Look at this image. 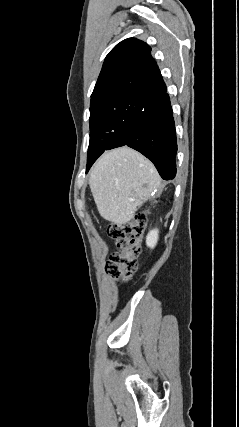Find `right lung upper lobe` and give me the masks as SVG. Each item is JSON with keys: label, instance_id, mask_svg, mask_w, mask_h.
<instances>
[{"label": "right lung upper lobe", "instance_id": "obj_1", "mask_svg": "<svg viewBox=\"0 0 239 427\" xmlns=\"http://www.w3.org/2000/svg\"><path fill=\"white\" fill-rule=\"evenodd\" d=\"M151 48L135 38L117 44L106 56L91 104L127 96L148 98L166 90Z\"/></svg>", "mask_w": 239, "mask_h": 427}]
</instances>
